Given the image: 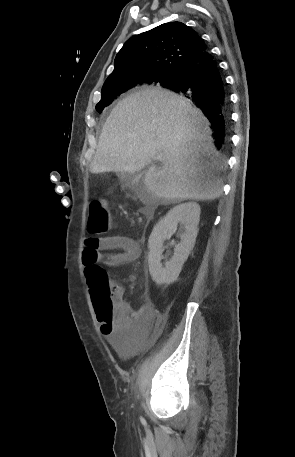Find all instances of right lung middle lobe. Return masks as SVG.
Returning <instances> with one entry per match:
<instances>
[{
  "label": "right lung middle lobe",
  "mask_w": 295,
  "mask_h": 457,
  "mask_svg": "<svg viewBox=\"0 0 295 457\" xmlns=\"http://www.w3.org/2000/svg\"><path fill=\"white\" fill-rule=\"evenodd\" d=\"M175 80V77H166V78H162L160 79V82L159 83H151V84H155V85H161L162 87L166 88L168 87L173 81ZM129 88V85H123V86H119V87H116V88H109V89H106V90H102V97H101V100L100 102L96 105V110L101 113L102 110L108 106L109 104H111L113 102V100L119 96L120 94L124 93L127 91V89Z\"/></svg>",
  "instance_id": "dd1d6c3e"
}]
</instances>
